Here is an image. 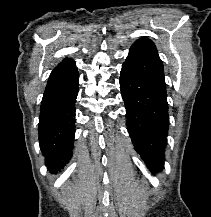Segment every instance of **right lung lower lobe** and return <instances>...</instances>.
<instances>
[{
	"label": "right lung lower lobe",
	"mask_w": 211,
	"mask_h": 217,
	"mask_svg": "<svg viewBox=\"0 0 211 217\" xmlns=\"http://www.w3.org/2000/svg\"><path fill=\"white\" fill-rule=\"evenodd\" d=\"M78 72L57 86L45 89L39 117L40 150L52 173L60 171L72 155Z\"/></svg>",
	"instance_id": "right-lung-lower-lobe-1"
}]
</instances>
